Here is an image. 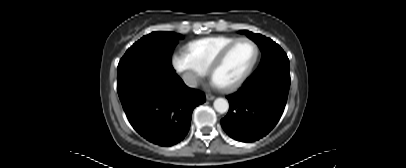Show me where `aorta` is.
Returning <instances> with one entry per match:
<instances>
[{
    "label": "aorta",
    "instance_id": "762f6f07",
    "mask_svg": "<svg viewBox=\"0 0 406 168\" xmlns=\"http://www.w3.org/2000/svg\"><path fill=\"white\" fill-rule=\"evenodd\" d=\"M214 109L219 112V113H225L229 109V103L226 99L224 98H217L214 103Z\"/></svg>",
    "mask_w": 406,
    "mask_h": 168
}]
</instances>
